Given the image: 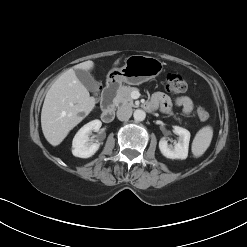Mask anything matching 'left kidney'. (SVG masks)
Instances as JSON below:
<instances>
[{"instance_id": "1", "label": "left kidney", "mask_w": 247, "mask_h": 247, "mask_svg": "<svg viewBox=\"0 0 247 247\" xmlns=\"http://www.w3.org/2000/svg\"><path fill=\"white\" fill-rule=\"evenodd\" d=\"M173 132L179 135V140L174 146L168 145L167 141L162 138L159 141V149L163 156L169 159H186L190 141V132L182 127L175 126Z\"/></svg>"}]
</instances>
